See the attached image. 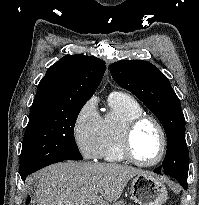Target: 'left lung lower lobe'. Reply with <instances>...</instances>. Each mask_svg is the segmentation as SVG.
<instances>
[{
  "instance_id": "obj_1",
  "label": "left lung lower lobe",
  "mask_w": 199,
  "mask_h": 205,
  "mask_svg": "<svg viewBox=\"0 0 199 205\" xmlns=\"http://www.w3.org/2000/svg\"><path fill=\"white\" fill-rule=\"evenodd\" d=\"M155 173H157L155 170H154ZM159 174V173H158ZM179 183L182 185V187L184 189H187V180H183V179H178Z\"/></svg>"
}]
</instances>
